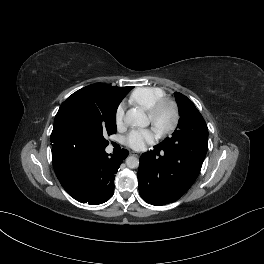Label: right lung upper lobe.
<instances>
[{"mask_svg":"<svg viewBox=\"0 0 264 264\" xmlns=\"http://www.w3.org/2000/svg\"><path fill=\"white\" fill-rule=\"evenodd\" d=\"M97 84H102V83H97ZM103 85H107V84H103ZM107 86H110V85H107ZM110 87L114 88L116 91H118L119 93H123V94H127L133 88V87H113V86H110ZM66 154L67 153L59 151L55 147H52V158H59Z\"/></svg>","mask_w":264,"mask_h":264,"instance_id":"obj_1","label":"right lung upper lobe"}]
</instances>
